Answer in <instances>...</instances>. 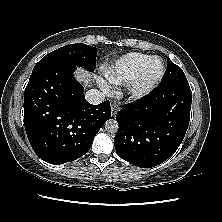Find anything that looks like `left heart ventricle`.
I'll return each mask as SVG.
<instances>
[{"mask_svg":"<svg viewBox=\"0 0 222 222\" xmlns=\"http://www.w3.org/2000/svg\"><path fill=\"white\" fill-rule=\"evenodd\" d=\"M161 70V62L159 60H156L152 63L149 74L150 76H155L157 75Z\"/></svg>","mask_w":222,"mask_h":222,"instance_id":"1","label":"left heart ventricle"}]
</instances>
